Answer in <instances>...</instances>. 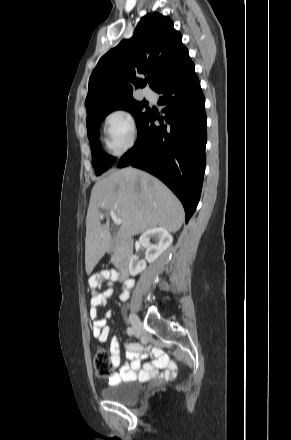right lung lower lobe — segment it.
<instances>
[{
	"mask_svg": "<svg viewBox=\"0 0 291 440\" xmlns=\"http://www.w3.org/2000/svg\"><path fill=\"white\" fill-rule=\"evenodd\" d=\"M194 67L155 90L162 95L159 104L165 116L149 108L138 124L134 147L118 165L143 169L162 180L182 202L186 223L200 199L207 142L205 99ZM156 119L160 125L154 124Z\"/></svg>",
	"mask_w": 291,
	"mask_h": 440,
	"instance_id": "1",
	"label": "right lung lower lobe"
}]
</instances>
